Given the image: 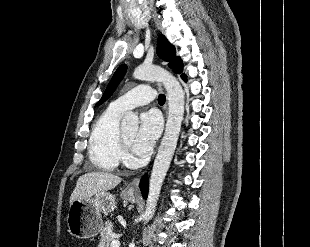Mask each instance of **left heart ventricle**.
Listing matches in <instances>:
<instances>
[{"label": "left heart ventricle", "instance_id": "1", "mask_svg": "<svg viewBox=\"0 0 310 247\" xmlns=\"http://www.w3.org/2000/svg\"><path fill=\"white\" fill-rule=\"evenodd\" d=\"M135 133H136V130H135V129L123 131V135H124L125 139H126L130 144L133 142V139H134V137H135Z\"/></svg>", "mask_w": 310, "mask_h": 247}]
</instances>
